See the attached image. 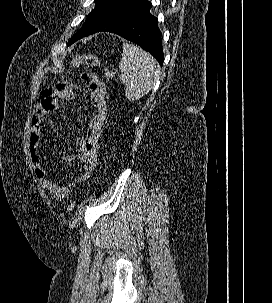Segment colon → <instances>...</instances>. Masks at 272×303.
I'll return each mask as SVG.
<instances>
[{
	"label": "colon",
	"mask_w": 272,
	"mask_h": 303,
	"mask_svg": "<svg viewBox=\"0 0 272 303\" xmlns=\"http://www.w3.org/2000/svg\"><path fill=\"white\" fill-rule=\"evenodd\" d=\"M86 65L90 67H97L99 65L98 57L92 54L77 55L71 61V66ZM105 75L108 79L115 77V72L112 69H107ZM74 209V203L72 201L67 204V211L72 212Z\"/></svg>",
	"instance_id": "5ec220e1"
}]
</instances>
